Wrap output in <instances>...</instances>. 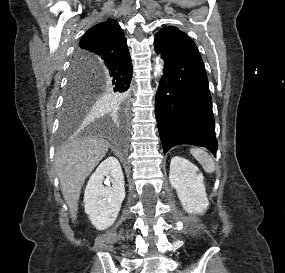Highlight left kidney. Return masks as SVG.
I'll return each mask as SVG.
<instances>
[{
	"mask_svg": "<svg viewBox=\"0 0 285 273\" xmlns=\"http://www.w3.org/2000/svg\"><path fill=\"white\" fill-rule=\"evenodd\" d=\"M197 166L180 156L171 159L169 179L179 200L189 213L203 214L209 206L202 173Z\"/></svg>",
	"mask_w": 285,
	"mask_h": 273,
	"instance_id": "obj_1",
	"label": "left kidney"
}]
</instances>
